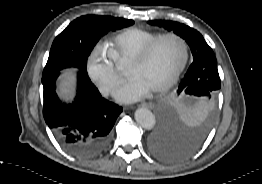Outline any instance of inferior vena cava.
Instances as JSON below:
<instances>
[{
	"label": "inferior vena cava",
	"mask_w": 262,
	"mask_h": 184,
	"mask_svg": "<svg viewBox=\"0 0 262 184\" xmlns=\"http://www.w3.org/2000/svg\"><path fill=\"white\" fill-rule=\"evenodd\" d=\"M102 93L107 95L110 91V87L109 86H103L101 89Z\"/></svg>",
	"instance_id": "602c4592"
}]
</instances>
